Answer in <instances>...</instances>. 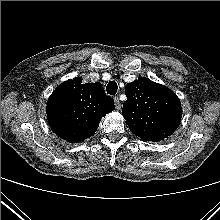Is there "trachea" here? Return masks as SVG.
I'll list each match as a JSON object with an SVG mask.
<instances>
[{
    "mask_svg": "<svg viewBox=\"0 0 220 220\" xmlns=\"http://www.w3.org/2000/svg\"><path fill=\"white\" fill-rule=\"evenodd\" d=\"M118 86L115 81H110L106 87L107 93L110 95H115L117 92Z\"/></svg>",
    "mask_w": 220,
    "mask_h": 220,
    "instance_id": "trachea-1",
    "label": "trachea"
}]
</instances>
